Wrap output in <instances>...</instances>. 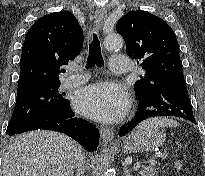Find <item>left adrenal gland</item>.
Instances as JSON below:
<instances>
[{
	"label": "left adrenal gland",
	"mask_w": 205,
	"mask_h": 176,
	"mask_svg": "<svg viewBox=\"0 0 205 176\" xmlns=\"http://www.w3.org/2000/svg\"><path fill=\"white\" fill-rule=\"evenodd\" d=\"M124 165V173H125V176H132L131 174H130V170H129V168L127 167V165L126 164H123Z\"/></svg>",
	"instance_id": "left-adrenal-gland-1"
}]
</instances>
